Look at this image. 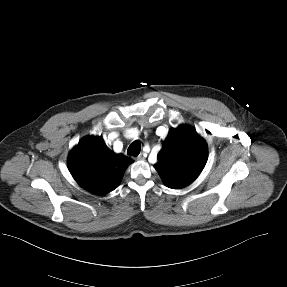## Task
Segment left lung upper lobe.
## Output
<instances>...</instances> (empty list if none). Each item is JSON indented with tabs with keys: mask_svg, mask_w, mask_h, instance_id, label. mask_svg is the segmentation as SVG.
Listing matches in <instances>:
<instances>
[{
	"mask_svg": "<svg viewBox=\"0 0 287 287\" xmlns=\"http://www.w3.org/2000/svg\"><path fill=\"white\" fill-rule=\"evenodd\" d=\"M207 155L205 140L193 128L181 125L169 131L154 167L167 187L180 189L199 176Z\"/></svg>",
	"mask_w": 287,
	"mask_h": 287,
	"instance_id": "obj_1",
	"label": "left lung upper lobe"
}]
</instances>
